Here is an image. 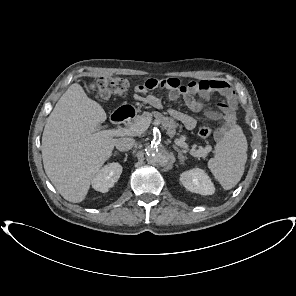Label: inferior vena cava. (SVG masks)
<instances>
[{
	"mask_svg": "<svg viewBox=\"0 0 296 296\" xmlns=\"http://www.w3.org/2000/svg\"><path fill=\"white\" fill-rule=\"evenodd\" d=\"M134 144L135 140L133 138L124 137L117 139L115 146L117 150L124 152L132 149Z\"/></svg>",
	"mask_w": 296,
	"mask_h": 296,
	"instance_id": "1",
	"label": "inferior vena cava"
}]
</instances>
